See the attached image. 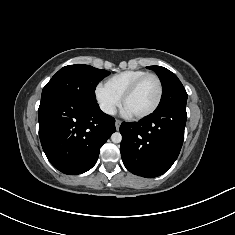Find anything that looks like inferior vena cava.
Listing matches in <instances>:
<instances>
[{
	"instance_id": "obj_1",
	"label": "inferior vena cava",
	"mask_w": 235,
	"mask_h": 235,
	"mask_svg": "<svg viewBox=\"0 0 235 235\" xmlns=\"http://www.w3.org/2000/svg\"><path fill=\"white\" fill-rule=\"evenodd\" d=\"M101 110L110 115H114L116 113V108L112 105H102Z\"/></svg>"
}]
</instances>
